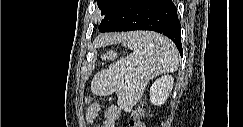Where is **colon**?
Segmentation results:
<instances>
[{"label":"colon","instance_id":"5ec220e1","mask_svg":"<svg viewBox=\"0 0 243 127\" xmlns=\"http://www.w3.org/2000/svg\"><path fill=\"white\" fill-rule=\"evenodd\" d=\"M143 110L141 108H136L132 111L128 125L131 127H144L142 122Z\"/></svg>","mask_w":243,"mask_h":127}]
</instances>
